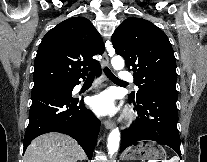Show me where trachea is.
I'll list each match as a JSON object with an SVG mask.
<instances>
[{"label":"trachea","instance_id":"3493384b","mask_svg":"<svg viewBox=\"0 0 207 162\" xmlns=\"http://www.w3.org/2000/svg\"><path fill=\"white\" fill-rule=\"evenodd\" d=\"M104 72L106 76L111 80L115 82L124 83L122 80H120L118 77H116L107 67L104 69ZM88 79H94V73L91 72L88 76Z\"/></svg>","mask_w":207,"mask_h":162}]
</instances>
